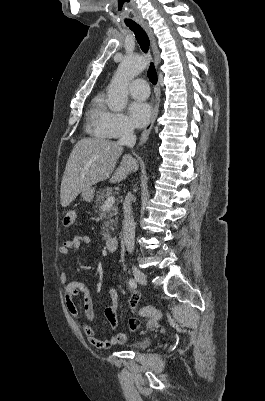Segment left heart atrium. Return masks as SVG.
I'll use <instances>...</instances> for the list:
<instances>
[{"mask_svg":"<svg viewBox=\"0 0 265 401\" xmlns=\"http://www.w3.org/2000/svg\"><path fill=\"white\" fill-rule=\"evenodd\" d=\"M128 115L136 127H143L151 118V107L144 101H132L128 104Z\"/></svg>","mask_w":265,"mask_h":401,"instance_id":"obj_1","label":"left heart atrium"}]
</instances>
